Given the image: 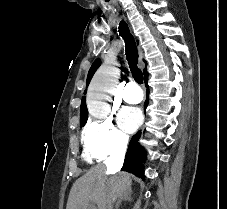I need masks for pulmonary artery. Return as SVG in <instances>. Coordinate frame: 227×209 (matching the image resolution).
<instances>
[{
	"instance_id": "obj_1",
	"label": "pulmonary artery",
	"mask_w": 227,
	"mask_h": 209,
	"mask_svg": "<svg viewBox=\"0 0 227 209\" xmlns=\"http://www.w3.org/2000/svg\"><path fill=\"white\" fill-rule=\"evenodd\" d=\"M135 86V82H125V88L124 92L122 93V97L126 103L137 104L142 101L140 88H134Z\"/></svg>"
}]
</instances>
